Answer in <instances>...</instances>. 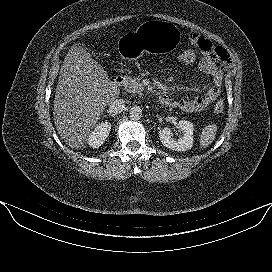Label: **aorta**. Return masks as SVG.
Wrapping results in <instances>:
<instances>
[{
    "label": "aorta",
    "mask_w": 272,
    "mask_h": 272,
    "mask_svg": "<svg viewBox=\"0 0 272 272\" xmlns=\"http://www.w3.org/2000/svg\"><path fill=\"white\" fill-rule=\"evenodd\" d=\"M129 114L132 120H139L142 117V109L139 106H133L129 110Z\"/></svg>",
    "instance_id": "762f6f07"
}]
</instances>
